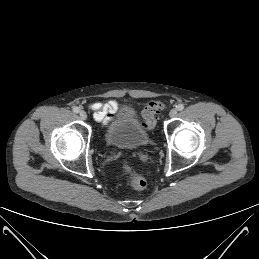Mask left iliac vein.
Wrapping results in <instances>:
<instances>
[{
	"label": "left iliac vein",
	"mask_w": 259,
	"mask_h": 259,
	"mask_svg": "<svg viewBox=\"0 0 259 259\" xmlns=\"http://www.w3.org/2000/svg\"><path fill=\"white\" fill-rule=\"evenodd\" d=\"M176 115H177V109H176V108L171 109L170 112H169V116H170L171 118H173V117H175Z\"/></svg>",
	"instance_id": "1"
}]
</instances>
